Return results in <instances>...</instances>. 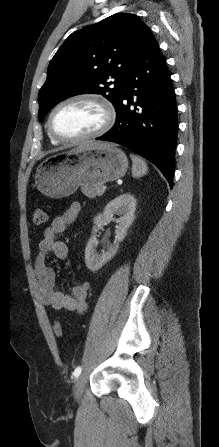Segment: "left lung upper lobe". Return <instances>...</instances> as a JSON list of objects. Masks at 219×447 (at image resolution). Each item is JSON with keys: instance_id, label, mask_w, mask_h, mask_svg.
Returning <instances> with one entry per match:
<instances>
[{"instance_id": "obj_1", "label": "left lung upper lobe", "mask_w": 219, "mask_h": 447, "mask_svg": "<svg viewBox=\"0 0 219 447\" xmlns=\"http://www.w3.org/2000/svg\"><path fill=\"white\" fill-rule=\"evenodd\" d=\"M151 36L149 27L129 13L73 32L49 64L39 92V120L54 105L84 93L101 94L117 108L128 71Z\"/></svg>"}]
</instances>
